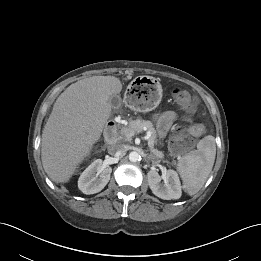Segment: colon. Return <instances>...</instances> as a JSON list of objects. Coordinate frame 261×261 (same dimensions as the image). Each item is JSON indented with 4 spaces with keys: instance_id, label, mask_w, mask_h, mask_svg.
Returning a JSON list of instances; mask_svg holds the SVG:
<instances>
[{
    "instance_id": "5ec220e1",
    "label": "colon",
    "mask_w": 261,
    "mask_h": 261,
    "mask_svg": "<svg viewBox=\"0 0 261 261\" xmlns=\"http://www.w3.org/2000/svg\"><path fill=\"white\" fill-rule=\"evenodd\" d=\"M173 96L176 103L186 111H192L196 107V99L192 93L184 88H175ZM197 130L196 126L179 129L170 140V150L174 154H182L192 148L194 140L191 136Z\"/></svg>"
}]
</instances>
